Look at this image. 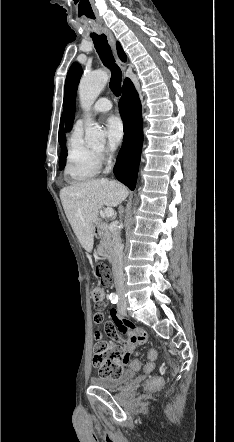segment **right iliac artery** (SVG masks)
<instances>
[{
    "instance_id": "1",
    "label": "right iliac artery",
    "mask_w": 234,
    "mask_h": 442,
    "mask_svg": "<svg viewBox=\"0 0 234 442\" xmlns=\"http://www.w3.org/2000/svg\"><path fill=\"white\" fill-rule=\"evenodd\" d=\"M109 299L113 304H116L118 302V295L115 293H111Z\"/></svg>"
}]
</instances>
